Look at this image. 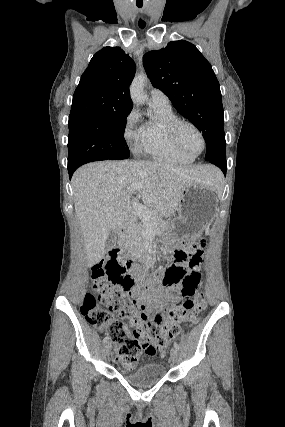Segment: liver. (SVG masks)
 <instances>
[{"instance_id":"6515ba94","label":"liver","mask_w":285,"mask_h":427,"mask_svg":"<svg viewBox=\"0 0 285 427\" xmlns=\"http://www.w3.org/2000/svg\"><path fill=\"white\" fill-rule=\"evenodd\" d=\"M219 175L210 165L156 161H102L80 167L72 177V188L88 266L103 258L109 232L131 219L134 184L142 185L139 193L144 206L168 217L178 210L186 187L199 183L217 191Z\"/></svg>"}]
</instances>
